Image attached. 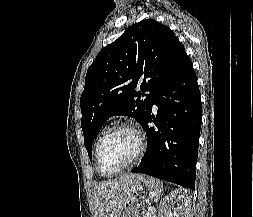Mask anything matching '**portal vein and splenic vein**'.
<instances>
[{
	"label": "portal vein and splenic vein",
	"instance_id": "1",
	"mask_svg": "<svg viewBox=\"0 0 253 217\" xmlns=\"http://www.w3.org/2000/svg\"><path fill=\"white\" fill-rule=\"evenodd\" d=\"M150 210H151L152 212H155V211H156V209H155L154 207H151Z\"/></svg>",
	"mask_w": 253,
	"mask_h": 217
}]
</instances>
